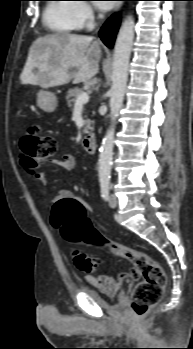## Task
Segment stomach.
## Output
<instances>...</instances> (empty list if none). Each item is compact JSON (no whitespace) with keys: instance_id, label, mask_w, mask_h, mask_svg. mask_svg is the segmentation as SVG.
<instances>
[{"instance_id":"obj_1","label":"stomach","mask_w":193,"mask_h":349,"mask_svg":"<svg viewBox=\"0 0 193 349\" xmlns=\"http://www.w3.org/2000/svg\"><path fill=\"white\" fill-rule=\"evenodd\" d=\"M37 104L45 112H54L57 107V97L50 91L40 90L37 93Z\"/></svg>"}]
</instances>
